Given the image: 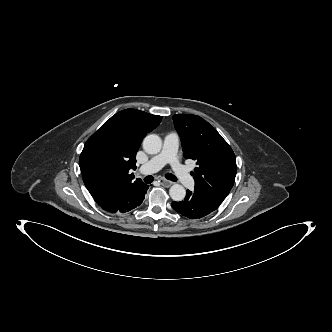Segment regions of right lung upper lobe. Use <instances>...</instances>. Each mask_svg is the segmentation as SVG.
I'll list each match as a JSON object with an SVG mask.
<instances>
[{
	"instance_id": "1",
	"label": "right lung upper lobe",
	"mask_w": 332,
	"mask_h": 332,
	"mask_svg": "<svg viewBox=\"0 0 332 332\" xmlns=\"http://www.w3.org/2000/svg\"><path fill=\"white\" fill-rule=\"evenodd\" d=\"M162 117L136 109H125L108 119L86 142L79 166L83 181L96 202L130 190L143 183L133 181L129 170L136 168V153L146 134L155 129ZM102 139L110 144L103 157L95 156Z\"/></svg>"
}]
</instances>
